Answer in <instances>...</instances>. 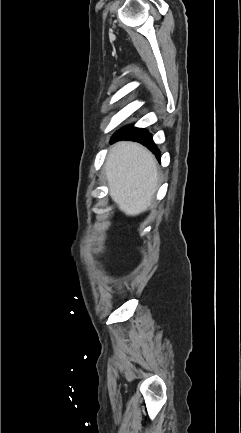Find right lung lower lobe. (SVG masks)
<instances>
[{
	"mask_svg": "<svg viewBox=\"0 0 241 433\" xmlns=\"http://www.w3.org/2000/svg\"><path fill=\"white\" fill-rule=\"evenodd\" d=\"M132 140L137 141L149 148L158 159H160V151L157 149L156 145L154 144L152 140V135L146 130V129H140L135 127H130L126 131L115 134L111 142H115L117 140Z\"/></svg>",
	"mask_w": 241,
	"mask_h": 433,
	"instance_id": "1",
	"label": "right lung lower lobe"
}]
</instances>
